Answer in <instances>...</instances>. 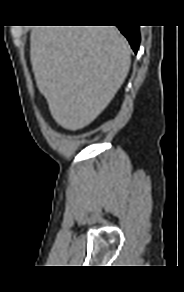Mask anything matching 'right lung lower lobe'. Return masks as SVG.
Masks as SVG:
<instances>
[{"label":"right lung lower lobe","mask_w":184,"mask_h":292,"mask_svg":"<svg viewBox=\"0 0 184 292\" xmlns=\"http://www.w3.org/2000/svg\"><path fill=\"white\" fill-rule=\"evenodd\" d=\"M121 33L128 39L132 49L137 53L140 44L139 26H118Z\"/></svg>","instance_id":"1"}]
</instances>
